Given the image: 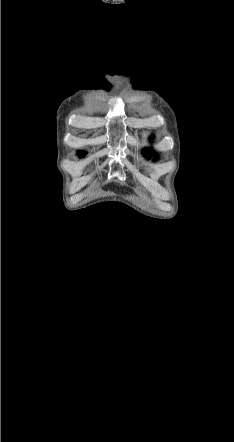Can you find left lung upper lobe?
<instances>
[{
  "instance_id": "5c2ea615",
  "label": "left lung upper lobe",
  "mask_w": 234,
  "mask_h": 442,
  "mask_svg": "<svg viewBox=\"0 0 234 442\" xmlns=\"http://www.w3.org/2000/svg\"><path fill=\"white\" fill-rule=\"evenodd\" d=\"M144 152H145L147 157H151L153 155V153L148 151V150H144Z\"/></svg>"
}]
</instances>
